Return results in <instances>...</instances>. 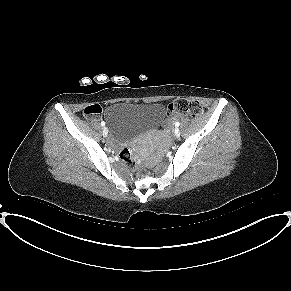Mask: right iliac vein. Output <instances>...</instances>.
Returning <instances> with one entry per match:
<instances>
[{"label": "right iliac vein", "instance_id": "1", "mask_svg": "<svg viewBox=\"0 0 291 291\" xmlns=\"http://www.w3.org/2000/svg\"><path fill=\"white\" fill-rule=\"evenodd\" d=\"M102 134H103L104 137L107 136V134H108V130H107L106 127L103 128V130H102Z\"/></svg>", "mask_w": 291, "mask_h": 291}]
</instances>
